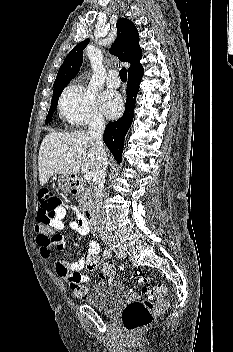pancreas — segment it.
<instances>
[{"label": "pancreas", "instance_id": "pancreas-1", "mask_svg": "<svg viewBox=\"0 0 233 352\" xmlns=\"http://www.w3.org/2000/svg\"><path fill=\"white\" fill-rule=\"evenodd\" d=\"M79 208L85 211L91 203V195L88 189L84 188L82 185L79 190Z\"/></svg>", "mask_w": 233, "mask_h": 352}]
</instances>
